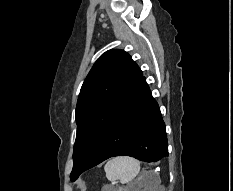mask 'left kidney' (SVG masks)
<instances>
[{
  "mask_svg": "<svg viewBox=\"0 0 233 191\" xmlns=\"http://www.w3.org/2000/svg\"><path fill=\"white\" fill-rule=\"evenodd\" d=\"M147 189H150V187H147ZM143 191H146V190H143Z\"/></svg>",
  "mask_w": 233,
  "mask_h": 191,
  "instance_id": "obj_1",
  "label": "left kidney"
}]
</instances>
